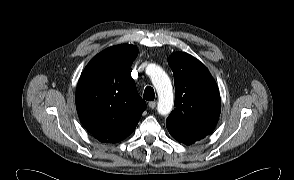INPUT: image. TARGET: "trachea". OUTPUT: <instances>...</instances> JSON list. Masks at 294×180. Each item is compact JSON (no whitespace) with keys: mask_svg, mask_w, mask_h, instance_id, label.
Listing matches in <instances>:
<instances>
[{"mask_svg":"<svg viewBox=\"0 0 294 180\" xmlns=\"http://www.w3.org/2000/svg\"><path fill=\"white\" fill-rule=\"evenodd\" d=\"M143 98L147 101H153L155 98L154 89L150 86H147L145 88Z\"/></svg>","mask_w":294,"mask_h":180,"instance_id":"3493384b","label":"trachea"}]
</instances>
